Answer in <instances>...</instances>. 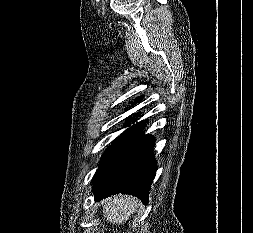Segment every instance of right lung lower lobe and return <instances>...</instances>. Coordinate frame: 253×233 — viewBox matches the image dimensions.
Segmentation results:
<instances>
[{"label":"right lung lower lobe","instance_id":"98d812e1","mask_svg":"<svg viewBox=\"0 0 253 233\" xmlns=\"http://www.w3.org/2000/svg\"><path fill=\"white\" fill-rule=\"evenodd\" d=\"M136 120L133 118L132 122ZM145 123L147 120L127 129L104 153L103 162L93 178L95 200L123 193L138 197L144 204L148 203L157 162L152 154L155 139L142 133Z\"/></svg>","mask_w":253,"mask_h":233}]
</instances>
